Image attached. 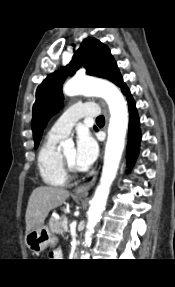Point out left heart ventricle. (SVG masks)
<instances>
[{
  "label": "left heart ventricle",
  "instance_id": "1",
  "mask_svg": "<svg viewBox=\"0 0 175 287\" xmlns=\"http://www.w3.org/2000/svg\"><path fill=\"white\" fill-rule=\"evenodd\" d=\"M63 154L73 165L77 166L75 159L76 151L74 148L66 149L65 151H63Z\"/></svg>",
  "mask_w": 175,
  "mask_h": 287
}]
</instances>
